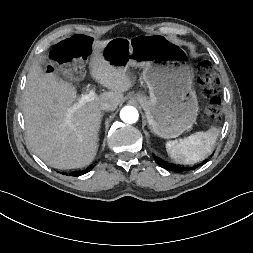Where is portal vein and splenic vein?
Here are the masks:
<instances>
[{"label": "portal vein and splenic vein", "instance_id": "portal-vein-and-splenic-vein-1", "mask_svg": "<svg viewBox=\"0 0 253 253\" xmlns=\"http://www.w3.org/2000/svg\"><path fill=\"white\" fill-rule=\"evenodd\" d=\"M96 98V94L94 90H90L86 94H82L79 99V104H85L87 102H90Z\"/></svg>", "mask_w": 253, "mask_h": 253}]
</instances>
